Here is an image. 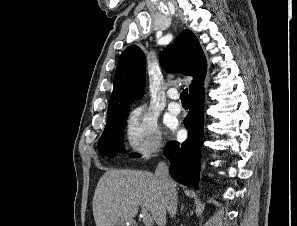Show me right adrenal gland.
<instances>
[{
	"mask_svg": "<svg viewBox=\"0 0 297 226\" xmlns=\"http://www.w3.org/2000/svg\"><path fill=\"white\" fill-rule=\"evenodd\" d=\"M183 209H184V205L182 204V206H181V212L183 211Z\"/></svg>",
	"mask_w": 297,
	"mask_h": 226,
	"instance_id": "2a0ac1e0",
	"label": "right adrenal gland"
}]
</instances>
